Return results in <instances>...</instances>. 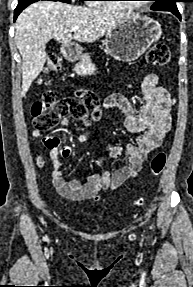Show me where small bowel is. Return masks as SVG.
<instances>
[{"label": "small bowel", "instance_id": "small-bowel-1", "mask_svg": "<svg viewBox=\"0 0 193 287\" xmlns=\"http://www.w3.org/2000/svg\"><path fill=\"white\" fill-rule=\"evenodd\" d=\"M141 93L142 101L138 108H135L121 93H113L104 101L106 109L117 108L127 116L126 127L137 136L135 143L110 148L111 158L125 157L128 162L113 172L105 170L92 174L85 180L65 179L61 162L71 156V147L59 146V136L44 137V148H50V159L54 167L51 182L62 196L77 201L97 200L102 191L116 189L128 179L134 178L148 154L162 144L172 126L169 94L165 88L158 86V76L154 73L146 75L143 79ZM60 124L68 127L70 120L62 117ZM31 136L39 138L42 132L33 129ZM78 139L81 142L92 140L85 134H78Z\"/></svg>", "mask_w": 193, "mask_h": 287}]
</instances>
